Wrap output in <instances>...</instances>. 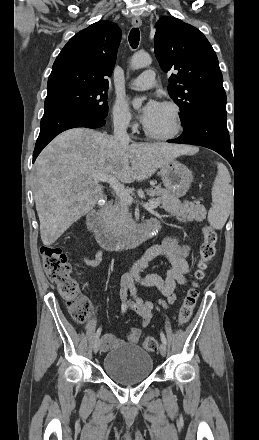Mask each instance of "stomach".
Masks as SVG:
<instances>
[{"instance_id": "1", "label": "stomach", "mask_w": 259, "mask_h": 440, "mask_svg": "<svg viewBox=\"0 0 259 440\" xmlns=\"http://www.w3.org/2000/svg\"><path fill=\"white\" fill-rule=\"evenodd\" d=\"M159 173L166 190L177 198L183 197L190 189L192 172L179 161L171 159L160 167Z\"/></svg>"}]
</instances>
